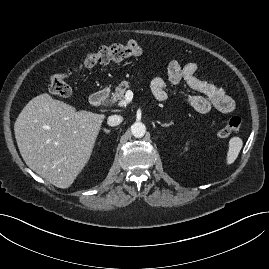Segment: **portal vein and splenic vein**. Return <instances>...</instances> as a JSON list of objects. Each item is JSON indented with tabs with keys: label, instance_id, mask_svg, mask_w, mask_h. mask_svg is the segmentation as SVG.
<instances>
[{
	"label": "portal vein and splenic vein",
	"instance_id": "1",
	"mask_svg": "<svg viewBox=\"0 0 269 269\" xmlns=\"http://www.w3.org/2000/svg\"><path fill=\"white\" fill-rule=\"evenodd\" d=\"M133 98V92L131 90L126 91L124 100H122L118 105L126 106Z\"/></svg>",
	"mask_w": 269,
	"mask_h": 269
}]
</instances>
